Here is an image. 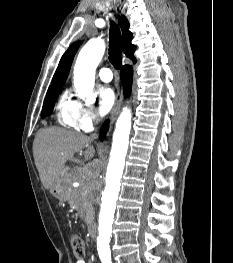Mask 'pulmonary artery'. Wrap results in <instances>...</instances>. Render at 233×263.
Wrapping results in <instances>:
<instances>
[{"label":"pulmonary artery","instance_id":"e3ab8cb5","mask_svg":"<svg viewBox=\"0 0 233 263\" xmlns=\"http://www.w3.org/2000/svg\"><path fill=\"white\" fill-rule=\"evenodd\" d=\"M98 75L103 82H110L113 79V73L108 67L101 68L98 72Z\"/></svg>","mask_w":233,"mask_h":263}]
</instances>
